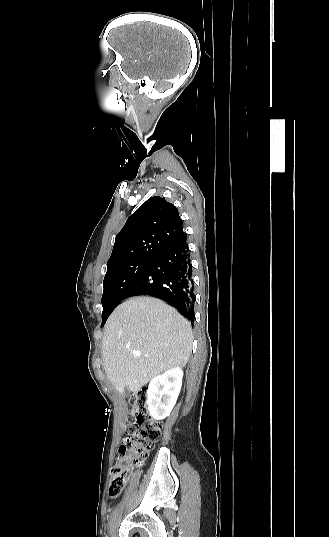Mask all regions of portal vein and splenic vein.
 Segmentation results:
<instances>
[{"instance_id": "18ae733b", "label": "portal vein and splenic vein", "mask_w": 329, "mask_h": 537, "mask_svg": "<svg viewBox=\"0 0 329 537\" xmlns=\"http://www.w3.org/2000/svg\"><path fill=\"white\" fill-rule=\"evenodd\" d=\"M134 354H135L136 356H138V357H140V356H141V354H140V353H138V352H134Z\"/></svg>"}]
</instances>
